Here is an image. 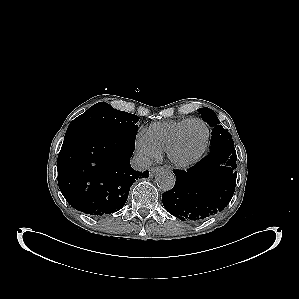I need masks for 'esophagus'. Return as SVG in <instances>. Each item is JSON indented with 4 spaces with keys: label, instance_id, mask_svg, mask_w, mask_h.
<instances>
[{
    "label": "esophagus",
    "instance_id": "1",
    "mask_svg": "<svg viewBox=\"0 0 299 299\" xmlns=\"http://www.w3.org/2000/svg\"><path fill=\"white\" fill-rule=\"evenodd\" d=\"M163 169L162 168H159V167H155V168H151L150 169V173H149V176L152 178L156 175V173L162 171Z\"/></svg>",
    "mask_w": 299,
    "mask_h": 299
}]
</instances>
